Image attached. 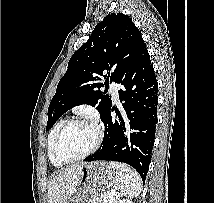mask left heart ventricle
Here are the masks:
<instances>
[{
	"mask_svg": "<svg viewBox=\"0 0 214 203\" xmlns=\"http://www.w3.org/2000/svg\"><path fill=\"white\" fill-rule=\"evenodd\" d=\"M96 129L89 122L74 124L61 136L58 151L63 159H73L87 152L95 142Z\"/></svg>",
	"mask_w": 214,
	"mask_h": 203,
	"instance_id": "1",
	"label": "left heart ventricle"
}]
</instances>
